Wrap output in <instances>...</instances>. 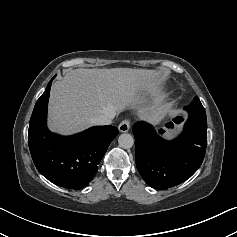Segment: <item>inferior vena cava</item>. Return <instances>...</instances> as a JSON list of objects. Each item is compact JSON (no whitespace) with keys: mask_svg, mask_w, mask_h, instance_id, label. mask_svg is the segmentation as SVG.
<instances>
[{"mask_svg":"<svg viewBox=\"0 0 237 237\" xmlns=\"http://www.w3.org/2000/svg\"><path fill=\"white\" fill-rule=\"evenodd\" d=\"M116 116L115 112H110L108 114H102L99 116H96L92 119V123L94 125H110L112 123V120Z\"/></svg>","mask_w":237,"mask_h":237,"instance_id":"inferior-vena-cava-1","label":"inferior vena cava"}]
</instances>
